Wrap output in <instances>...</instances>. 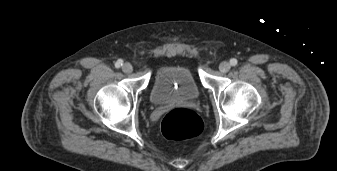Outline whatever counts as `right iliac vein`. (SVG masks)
Listing matches in <instances>:
<instances>
[{
	"label": "right iliac vein",
	"mask_w": 337,
	"mask_h": 171,
	"mask_svg": "<svg viewBox=\"0 0 337 171\" xmlns=\"http://www.w3.org/2000/svg\"><path fill=\"white\" fill-rule=\"evenodd\" d=\"M122 70L124 73H130L133 70V67L130 63H124L122 66Z\"/></svg>",
	"instance_id": "63e3f726"
}]
</instances>
